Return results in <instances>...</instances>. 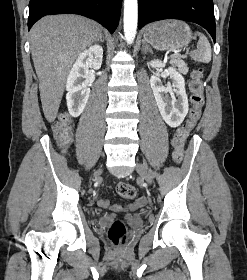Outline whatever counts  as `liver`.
<instances>
[{
    "mask_svg": "<svg viewBox=\"0 0 247 280\" xmlns=\"http://www.w3.org/2000/svg\"><path fill=\"white\" fill-rule=\"evenodd\" d=\"M100 33L96 22L78 15L45 16L31 28L32 59L48 122H53L57 116L74 61L98 40Z\"/></svg>",
    "mask_w": 247,
    "mask_h": 280,
    "instance_id": "obj_1",
    "label": "liver"
}]
</instances>
